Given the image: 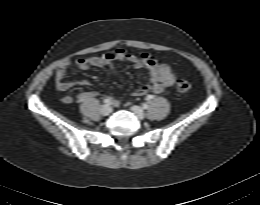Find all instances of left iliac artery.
I'll return each mask as SVG.
<instances>
[{
  "instance_id": "obj_1",
  "label": "left iliac artery",
  "mask_w": 260,
  "mask_h": 205,
  "mask_svg": "<svg viewBox=\"0 0 260 205\" xmlns=\"http://www.w3.org/2000/svg\"><path fill=\"white\" fill-rule=\"evenodd\" d=\"M149 98H152V96L150 95ZM144 109H147L148 108V105L147 104H143L142 105Z\"/></svg>"
}]
</instances>
